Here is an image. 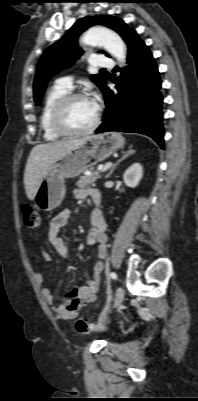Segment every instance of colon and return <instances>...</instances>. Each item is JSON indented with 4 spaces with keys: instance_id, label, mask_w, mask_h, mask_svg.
I'll return each instance as SVG.
<instances>
[{
    "instance_id": "colon-1",
    "label": "colon",
    "mask_w": 198,
    "mask_h": 401,
    "mask_svg": "<svg viewBox=\"0 0 198 401\" xmlns=\"http://www.w3.org/2000/svg\"><path fill=\"white\" fill-rule=\"evenodd\" d=\"M23 214H24L25 225L27 227L36 228L40 225L39 213L32 207L24 206ZM65 307L70 311L75 310V306L73 304H71L70 301L66 303ZM87 323H92V321L89 318H82L78 321L79 325H84Z\"/></svg>"
}]
</instances>
